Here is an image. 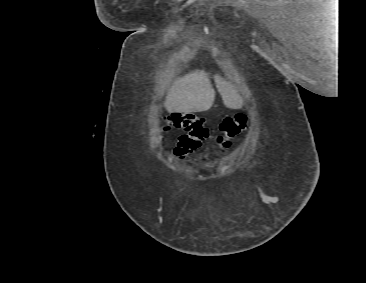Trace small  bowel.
I'll use <instances>...</instances> for the list:
<instances>
[{"instance_id": "c3829d8e", "label": "small bowel", "mask_w": 366, "mask_h": 283, "mask_svg": "<svg viewBox=\"0 0 366 283\" xmlns=\"http://www.w3.org/2000/svg\"><path fill=\"white\" fill-rule=\"evenodd\" d=\"M229 146H230V144L223 145V146H221V149H222V150H225V149H227Z\"/></svg>"}]
</instances>
